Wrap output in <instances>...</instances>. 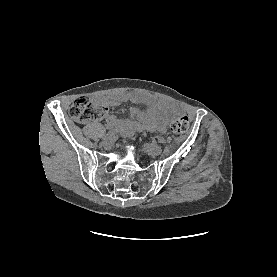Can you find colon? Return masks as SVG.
<instances>
[{"label": "colon", "mask_w": 277, "mask_h": 277, "mask_svg": "<svg viewBox=\"0 0 277 277\" xmlns=\"http://www.w3.org/2000/svg\"><path fill=\"white\" fill-rule=\"evenodd\" d=\"M107 108L100 104L91 102L87 97H79L74 100L69 109L70 116L78 122H87L98 120L104 117ZM189 118L187 116H179L175 118L170 129L175 134L185 133L189 128Z\"/></svg>", "instance_id": "colon-1"}]
</instances>
